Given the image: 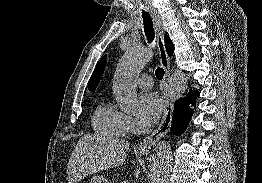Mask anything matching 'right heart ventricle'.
Instances as JSON below:
<instances>
[{
  "label": "right heart ventricle",
  "instance_id": "e07e8e85",
  "mask_svg": "<svg viewBox=\"0 0 262 183\" xmlns=\"http://www.w3.org/2000/svg\"><path fill=\"white\" fill-rule=\"evenodd\" d=\"M94 130L110 137H123L127 134L126 115L109 102L100 103L92 117Z\"/></svg>",
  "mask_w": 262,
  "mask_h": 183
}]
</instances>
